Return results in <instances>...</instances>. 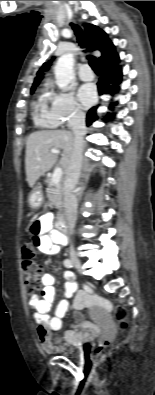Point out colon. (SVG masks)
Instances as JSON below:
<instances>
[{
  "mask_svg": "<svg viewBox=\"0 0 155 395\" xmlns=\"http://www.w3.org/2000/svg\"><path fill=\"white\" fill-rule=\"evenodd\" d=\"M34 243H27L22 249L23 253V279L26 291L33 294L41 288V268L35 260L36 252L34 249ZM116 317L120 321L122 327H126L127 311L123 307H119L116 310ZM109 342H103L100 344L98 351L102 352L108 347Z\"/></svg>",
  "mask_w": 155,
  "mask_h": 395,
  "instance_id": "colon-1",
  "label": "colon"
}]
</instances>
